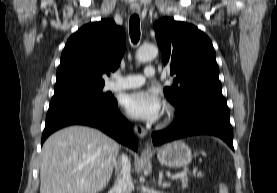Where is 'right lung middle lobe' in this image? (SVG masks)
Listing matches in <instances>:
<instances>
[{"label": "right lung middle lobe", "mask_w": 277, "mask_h": 193, "mask_svg": "<svg viewBox=\"0 0 277 193\" xmlns=\"http://www.w3.org/2000/svg\"><path fill=\"white\" fill-rule=\"evenodd\" d=\"M103 86L104 85L91 87V88L72 90L64 94L82 95V96L96 98L102 101L112 100L114 97L110 93H102Z\"/></svg>", "instance_id": "obj_1"}]
</instances>
